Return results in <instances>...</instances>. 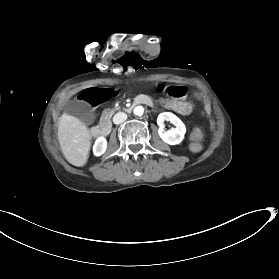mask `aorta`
<instances>
[{
    "mask_svg": "<svg viewBox=\"0 0 279 279\" xmlns=\"http://www.w3.org/2000/svg\"><path fill=\"white\" fill-rule=\"evenodd\" d=\"M144 113V108L142 106H137L134 109V114L137 116H142Z\"/></svg>",
    "mask_w": 279,
    "mask_h": 279,
    "instance_id": "762f6f07",
    "label": "aorta"
}]
</instances>
